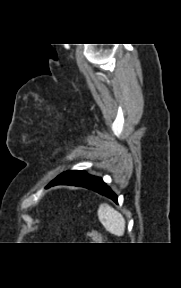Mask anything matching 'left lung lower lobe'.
<instances>
[{
    "label": "left lung lower lobe",
    "instance_id": "left-lung-lower-lobe-1",
    "mask_svg": "<svg viewBox=\"0 0 181 288\" xmlns=\"http://www.w3.org/2000/svg\"><path fill=\"white\" fill-rule=\"evenodd\" d=\"M59 184L60 183L56 181H51L46 188ZM74 185L94 190L99 194L112 199L115 203L118 202L117 195L106 185V183L100 177L90 175L89 177L85 178L84 180Z\"/></svg>",
    "mask_w": 181,
    "mask_h": 288
}]
</instances>
